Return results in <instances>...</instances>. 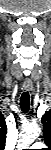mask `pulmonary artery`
I'll return each instance as SVG.
<instances>
[{"mask_svg": "<svg viewBox=\"0 0 51 150\" xmlns=\"http://www.w3.org/2000/svg\"><path fill=\"white\" fill-rule=\"evenodd\" d=\"M43 145L41 143H35L31 146V148H40L42 147Z\"/></svg>", "mask_w": 51, "mask_h": 150, "instance_id": "1", "label": "pulmonary artery"}]
</instances>
